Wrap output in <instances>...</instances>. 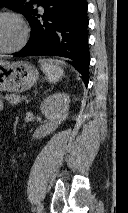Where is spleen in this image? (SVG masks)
<instances>
[{"instance_id":"spleen-1","label":"spleen","mask_w":128,"mask_h":213,"mask_svg":"<svg viewBox=\"0 0 128 213\" xmlns=\"http://www.w3.org/2000/svg\"><path fill=\"white\" fill-rule=\"evenodd\" d=\"M60 61L55 59H41V70L47 79L52 83H57L64 75V70L59 66Z\"/></svg>"}]
</instances>
